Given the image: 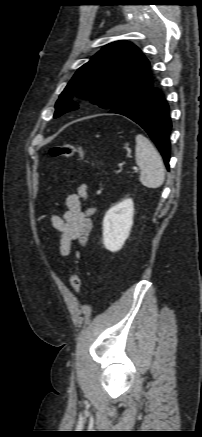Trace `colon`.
<instances>
[{
	"mask_svg": "<svg viewBox=\"0 0 202 437\" xmlns=\"http://www.w3.org/2000/svg\"><path fill=\"white\" fill-rule=\"evenodd\" d=\"M50 156H57V157H73L77 156L80 159H86L89 158L87 152L85 149L79 146L71 145V144H64V145H57L53 146L49 151ZM93 162L97 163L96 160L92 159ZM70 284L71 288L75 293H78L81 289V276L78 272H74L70 277Z\"/></svg>",
	"mask_w": 202,
	"mask_h": 437,
	"instance_id": "1",
	"label": "colon"
}]
</instances>
